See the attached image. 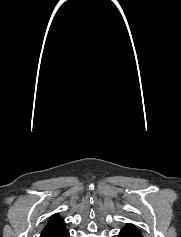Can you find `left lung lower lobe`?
Masks as SVG:
<instances>
[{
	"instance_id": "1",
	"label": "left lung lower lobe",
	"mask_w": 181,
	"mask_h": 237,
	"mask_svg": "<svg viewBox=\"0 0 181 237\" xmlns=\"http://www.w3.org/2000/svg\"><path fill=\"white\" fill-rule=\"evenodd\" d=\"M119 237H142V234L135 226H129L120 231Z\"/></svg>"
}]
</instances>
